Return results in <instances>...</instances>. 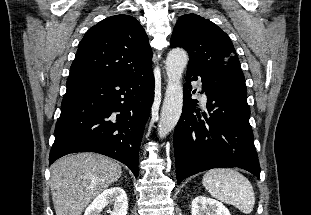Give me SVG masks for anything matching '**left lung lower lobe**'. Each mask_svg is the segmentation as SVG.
I'll return each instance as SVG.
<instances>
[{
    "label": "left lung lower lobe",
    "mask_w": 311,
    "mask_h": 215,
    "mask_svg": "<svg viewBox=\"0 0 311 215\" xmlns=\"http://www.w3.org/2000/svg\"><path fill=\"white\" fill-rule=\"evenodd\" d=\"M186 77L183 111L174 131L178 184L219 167H239L260 178L247 94L226 89L195 65L188 64ZM197 78H201V93L207 96V112L203 113L191 98L190 82Z\"/></svg>",
    "instance_id": "obj_1"
}]
</instances>
